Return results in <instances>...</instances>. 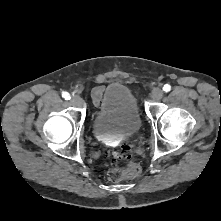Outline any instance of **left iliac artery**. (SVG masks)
Wrapping results in <instances>:
<instances>
[{
    "instance_id": "left-iliac-artery-1",
    "label": "left iliac artery",
    "mask_w": 221,
    "mask_h": 221,
    "mask_svg": "<svg viewBox=\"0 0 221 221\" xmlns=\"http://www.w3.org/2000/svg\"><path fill=\"white\" fill-rule=\"evenodd\" d=\"M170 89H171V87L168 84L164 85V87H163L164 92H168V91H170Z\"/></svg>"
}]
</instances>
